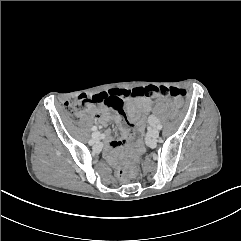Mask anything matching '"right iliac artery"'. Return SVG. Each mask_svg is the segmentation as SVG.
I'll list each match as a JSON object with an SVG mask.
<instances>
[{
	"instance_id": "1",
	"label": "right iliac artery",
	"mask_w": 241,
	"mask_h": 241,
	"mask_svg": "<svg viewBox=\"0 0 241 241\" xmlns=\"http://www.w3.org/2000/svg\"><path fill=\"white\" fill-rule=\"evenodd\" d=\"M92 130H93V131H96V130H97V127H96V126H93V127H92Z\"/></svg>"
}]
</instances>
